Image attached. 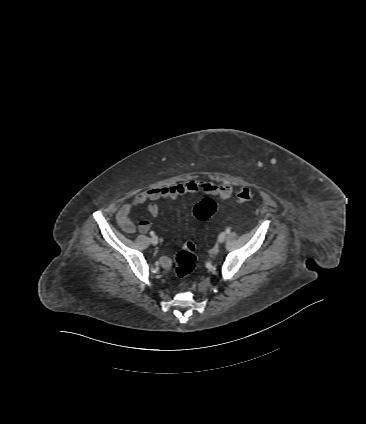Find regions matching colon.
Masks as SVG:
<instances>
[{
  "mask_svg": "<svg viewBox=\"0 0 366 424\" xmlns=\"http://www.w3.org/2000/svg\"><path fill=\"white\" fill-rule=\"evenodd\" d=\"M252 198V191L247 187H243L238 192L237 202L245 204ZM216 203L205 198L197 203L193 208V214L198 220H207L216 211ZM196 246L192 241H186L175 259V274L178 278L183 279L188 277L196 268Z\"/></svg>",
  "mask_w": 366,
  "mask_h": 424,
  "instance_id": "5ec220e1",
  "label": "colon"
}]
</instances>
